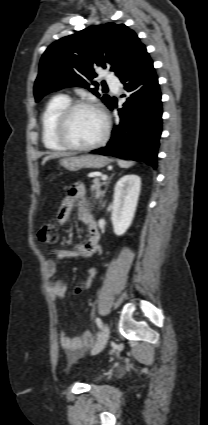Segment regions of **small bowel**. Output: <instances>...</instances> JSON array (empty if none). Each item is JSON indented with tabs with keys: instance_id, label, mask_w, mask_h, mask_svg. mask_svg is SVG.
<instances>
[{
	"instance_id": "1",
	"label": "small bowel",
	"mask_w": 208,
	"mask_h": 425,
	"mask_svg": "<svg viewBox=\"0 0 208 425\" xmlns=\"http://www.w3.org/2000/svg\"><path fill=\"white\" fill-rule=\"evenodd\" d=\"M85 185L83 183L73 184L68 188L67 194L62 202L58 214L60 224H66L72 214L76 204L79 205V219L88 226V239L84 243H78L73 249H58L55 251L56 259L47 262V274L49 278V294L54 299H63L66 295L68 286L57 278L58 261L65 258H88L97 251L100 238L96 221L91 214L87 202L84 200ZM91 337L88 332H84L79 337L71 338L62 333L60 336V345L65 350L67 356L71 359H77L83 351L89 346Z\"/></svg>"
}]
</instances>
